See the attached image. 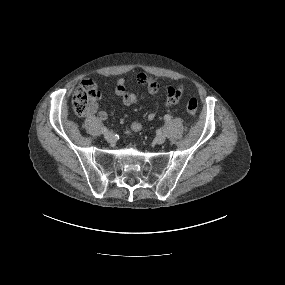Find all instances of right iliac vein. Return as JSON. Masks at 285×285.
Here are the masks:
<instances>
[{"mask_svg": "<svg viewBox=\"0 0 285 285\" xmlns=\"http://www.w3.org/2000/svg\"><path fill=\"white\" fill-rule=\"evenodd\" d=\"M104 138L107 140V141H113L115 139V136L112 132H107L104 134Z\"/></svg>", "mask_w": 285, "mask_h": 285, "instance_id": "1", "label": "right iliac vein"}]
</instances>
